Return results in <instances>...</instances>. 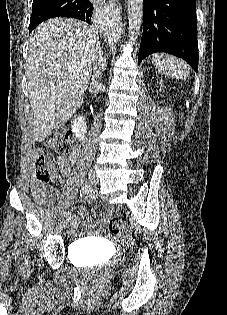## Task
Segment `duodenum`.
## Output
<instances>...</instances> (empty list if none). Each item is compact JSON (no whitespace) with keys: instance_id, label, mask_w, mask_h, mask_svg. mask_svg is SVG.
Listing matches in <instances>:
<instances>
[{"instance_id":"1","label":"duodenum","mask_w":227,"mask_h":315,"mask_svg":"<svg viewBox=\"0 0 227 315\" xmlns=\"http://www.w3.org/2000/svg\"><path fill=\"white\" fill-rule=\"evenodd\" d=\"M87 130L86 119L83 115L77 114L74 121V131L76 133L77 138L80 141H83L85 138V133Z\"/></svg>"}]
</instances>
